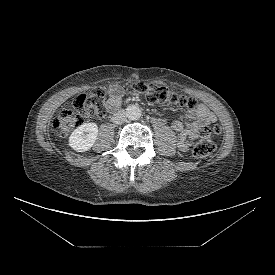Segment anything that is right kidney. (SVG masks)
Segmentation results:
<instances>
[{
  "label": "right kidney",
  "mask_w": 275,
  "mask_h": 275,
  "mask_svg": "<svg viewBox=\"0 0 275 275\" xmlns=\"http://www.w3.org/2000/svg\"><path fill=\"white\" fill-rule=\"evenodd\" d=\"M98 126L95 123H85L77 127L69 137V145L77 152L88 151L95 143Z\"/></svg>",
  "instance_id": "1"
}]
</instances>
